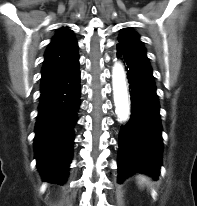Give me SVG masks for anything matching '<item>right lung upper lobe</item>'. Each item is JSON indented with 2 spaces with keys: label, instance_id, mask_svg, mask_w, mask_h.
Listing matches in <instances>:
<instances>
[{
  "label": "right lung upper lobe",
  "instance_id": "obj_1",
  "mask_svg": "<svg viewBox=\"0 0 197 206\" xmlns=\"http://www.w3.org/2000/svg\"><path fill=\"white\" fill-rule=\"evenodd\" d=\"M78 58V44L72 30L57 29L44 55L41 87L67 72Z\"/></svg>",
  "mask_w": 197,
  "mask_h": 206
}]
</instances>
